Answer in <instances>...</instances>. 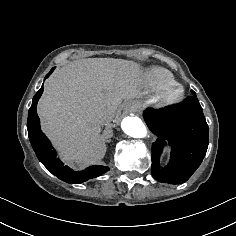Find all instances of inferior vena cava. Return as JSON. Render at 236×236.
<instances>
[{"instance_id": "inferior-vena-cava-1", "label": "inferior vena cava", "mask_w": 236, "mask_h": 236, "mask_svg": "<svg viewBox=\"0 0 236 236\" xmlns=\"http://www.w3.org/2000/svg\"><path fill=\"white\" fill-rule=\"evenodd\" d=\"M113 118H114V115H108V116H104L102 119L106 124V123L111 122L113 120Z\"/></svg>"}]
</instances>
